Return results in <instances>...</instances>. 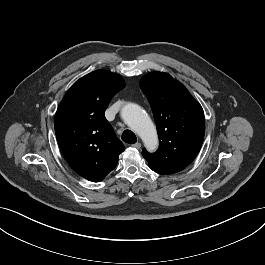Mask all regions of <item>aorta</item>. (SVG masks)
<instances>
[{
    "label": "aorta",
    "instance_id": "1",
    "mask_svg": "<svg viewBox=\"0 0 265 265\" xmlns=\"http://www.w3.org/2000/svg\"><path fill=\"white\" fill-rule=\"evenodd\" d=\"M121 117L139 135L148 148L157 144L156 128L140 106L133 103L125 105L121 110Z\"/></svg>",
    "mask_w": 265,
    "mask_h": 265
}]
</instances>
